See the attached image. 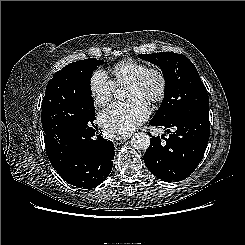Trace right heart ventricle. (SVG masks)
I'll list each match as a JSON object with an SVG mask.
<instances>
[{
  "mask_svg": "<svg viewBox=\"0 0 245 245\" xmlns=\"http://www.w3.org/2000/svg\"><path fill=\"white\" fill-rule=\"evenodd\" d=\"M148 68L144 62L135 59H126L118 62L109 70L108 78L114 86L127 84Z\"/></svg>",
  "mask_w": 245,
  "mask_h": 245,
  "instance_id": "obj_1",
  "label": "right heart ventricle"
}]
</instances>
